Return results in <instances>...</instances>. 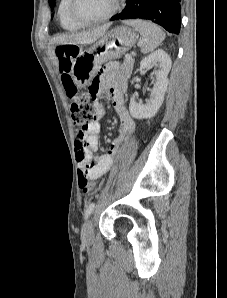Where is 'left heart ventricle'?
Wrapping results in <instances>:
<instances>
[{"label": "left heart ventricle", "instance_id": "obj_1", "mask_svg": "<svg viewBox=\"0 0 227 298\" xmlns=\"http://www.w3.org/2000/svg\"><path fill=\"white\" fill-rule=\"evenodd\" d=\"M113 3L114 0H76L75 12L82 19L93 20L107 14Z\"/></svg>", "mask_w": 227, "mask_h": 298}]
</instances>
